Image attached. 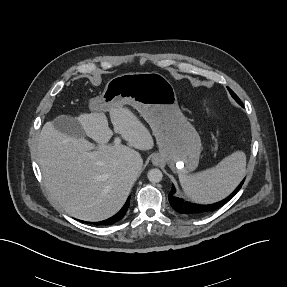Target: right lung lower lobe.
I'll return each mask as SVG.
<instances>
[{"instance_id": "1", "label": "right lung lower lobe", "mask_w": 287, "mask_h": 287, "mask_svg": "<svg viewBox=\"0 0 287 287\" xmlns=\"http://www.w3.org/2000/svg\"><path fill=\"white\" fill-rule=\"evenodd\" d=\"M129 201H130V197L127 199L125 205L122 207V209L116 214L114 215L113 217L107 219V220H103L101 222H95L93 224L95 225H111V224H114L116 222H118L119 220H121L124 215L126 214V211L129 207Z\"/></svg>"}]
</instances>
